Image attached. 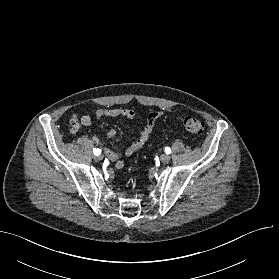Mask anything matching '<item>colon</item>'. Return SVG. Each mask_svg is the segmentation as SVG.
<instances>
[{"label": "colon", "instance_id": "1", "mask_svg": "<svg viewBox=\"0 0 279 279\" xmlns=\"http://www.w3.org/2000/svg\"><path fill=\"white\" fill-rule=\"evenodd\" d=\"M71 126L72 130L77 128L78 122L76 118L71 119ZM183 126L188 132L196 135L201 134L205 128L204 122L194 117H186L183 120Z\"/></svg>", "mask_w": 279, "mask_h": 279}]
</instances>
